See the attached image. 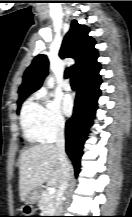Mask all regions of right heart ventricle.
Listing matches in <instances>:
<instances>
[{"mask_svg": "<svg viewBox=\"0 0 132 217\" xmlns=\"http://www.w3.org/2000/svg\"><path fill=\"white\" fill-rule=\"evenodd\" d=\"M42 106L32 100H27L21 112V127L25 139L30 144H38L45 141L42 134Z\"/></svg>", "mask_w": 132, "mask_h": 217, "instance_id": "1", "label": "right heart ventricle"}]
</instances>
